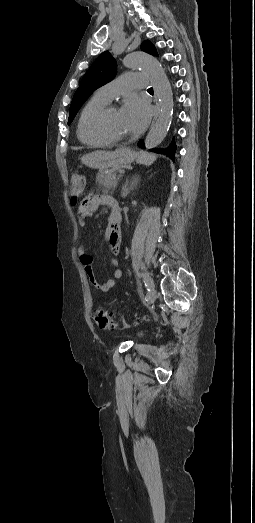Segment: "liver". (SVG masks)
<instances>
[{
  "instance_id": "obj_1",
  "label": "liver",
  "mask_w": 255,
  "mask_h": 523,
  "mask_svg": "<svg viewBox=\"0 0 255 523\" xmlns=\"http://www.w3.org/2000/svg\"><path fill=\"white\" fill-rule=\"evenodd\" d=\"M97 154H109V152H92V154H86V156L82 158L83 164L89 166V168H94Z\"/></svg>"
}]
</instances>
